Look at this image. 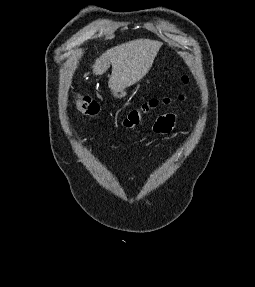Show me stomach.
<instances>
[{
	"instance_id": "obj_1",
	"label": "stomach",
	"mask_w": 255,
	"mask_h": 287,
	"mask_svg": "<svg viewBox=\"0 0 255 287\" xmlns=\"http://www.w3.org/2000/svg\"><path fill=\"white\" fill-rule=\"evenodd\" d=\"M112 96L114 98H125L127 96V90L126 88H120V90H111Z\"/></svg>"
}]
</instances>
